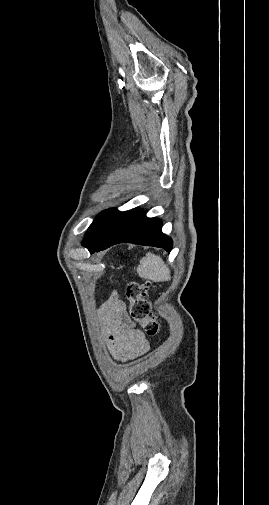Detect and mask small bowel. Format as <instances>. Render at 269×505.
Here are the masks:
<instances>
[{"label":"small bowel","instance_id":"obj_1","mask_svg":"<svg viewBox=\"0 0 269 505\" xmlns=\"http://www.w3.org/2000/svg\"><path fill=\"white\" fill-rule=\"evenodd\" d=\"M99 318L109 349L119 361L135 359L149 349L145 334L136 329L117 294L99 309Z\"/></svg>","mask_w":269,"mask_h":505}]
</instances>
